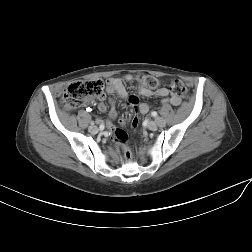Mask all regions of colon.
<instances>
[{
  "label": "colon",
  "instance_id": "colon-1",
  "mask_svg": "<svg viewBox=\"0 0 252 252\" xmlns=\"http://www.w3.org/2000/svg\"><path fill=\"white\" fill-rule=\"evenodd\" d=\"M137 79L140 85L146 88L155 89L159 86L158 79L151 75L141 74L137 77ZM169 89L173 95L179 98L188 97L187 87L179 80L172 81L169 85ZM103 93L104 84L101 80L75 82L71 84L63 93L62 104L68 110L76 109L84 105L92 98H101ZM125 123L126 118L121 126H124ZM131 125L133 129L137 127V117L132 119ZM113 135L115 140L120 144H124L127 140V133L123 128L115 129ZM124 155L127 160H130L131 152L128 148L124 149Z\"/></svg>",
  "mask_w": 252,
  "mask_h": 252
}]
</instances>
